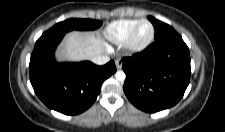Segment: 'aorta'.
Listing matches in <instances>:
<instances>
[{"label":"aorta","mask_w":225,"mask_h":132,"mask_svg":"<svg viewBox=\"0 0 225 132\" xmlns=\"http://www.w3.org/2000/svg\"><path fill=\"white\" fill-rule=\"evenodd\" d=\"M115 78L118 80V81H124L125 78H126V74L123 72V71H117L115 73Z\"/></svg>","instance_id":"1"}]
</instances>
